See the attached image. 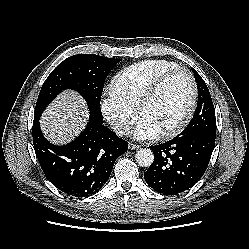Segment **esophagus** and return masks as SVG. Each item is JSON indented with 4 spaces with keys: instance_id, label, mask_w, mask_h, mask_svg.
<instances>
[{
    "instance_id": "34e87169",
    "label": "esophagus",
    "mask_w": 249,
    "mask_h": 249,
    "mask_svg": "<svg viewBox=\"0 0 249 249\" xmlns=\"http://www.w3.org/2000/svg\"><path fill=\"white\" fill-rule=\"evenodd\" d=\"M128 148H129L130 150H137V149H139V145L134 144V143H129V144H128Z\"/></svg>"
}]
</instances>
